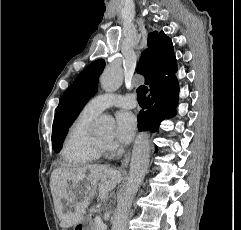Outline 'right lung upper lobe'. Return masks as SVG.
<instances>
[{
    "label": "right lung upper lobe",
    "mask_w": 241,
    "mask_h": 230,
    "mask_svg": "<svg viewBox=\"0 0 241 230\" xmlns=\"http://www.w3.org/2000/svg\"><path fill=\"white\" fill-rule=\"evenodd\" d=\"M177 69L171 39L163 31H154L148 36V48L142 53L138 73L145 76L150 88Z\"/></svg>",
    "instance_id": "1"
}]
</instances>
